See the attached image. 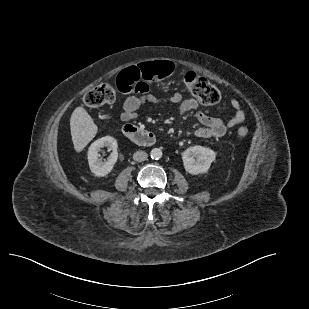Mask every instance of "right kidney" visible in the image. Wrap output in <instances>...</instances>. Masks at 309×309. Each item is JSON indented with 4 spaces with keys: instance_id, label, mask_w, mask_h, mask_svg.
<instances>
[{
    "instance_id": "obj_1",
    "label": "right kidney",
    "mask_w": 309,
    "mask_h": 309,
    "mask_svg": "<svg viewBox=\"0 0 309 309\" xmlns=\"http://www.w3.org/2000/svg\"><path fill=\"white\" fill-rule=\"evenodd\" d=\"M103 147H109L112 153L106 162H102L100 157V150ZM117 141L111 136L102 137L91 144L88 150V163L91 172L97 177H104L108 175L117 161L118 152Z\"/></svg>"
}]
</instances>
